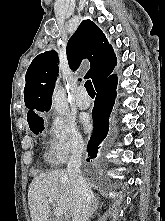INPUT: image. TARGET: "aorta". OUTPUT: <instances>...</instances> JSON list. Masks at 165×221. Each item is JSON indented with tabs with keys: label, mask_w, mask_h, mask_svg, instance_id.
Returning <instances> with one entry per match:
<instances>
[{
	"label": "aorta",
	"mask_w": 165,
	"mask_h": 221,
	"mask_svg": "<svg viewBox=\"0 0 165 221\" xmlns=\"http://www.w3.org/2000/svg\"><path fill=\"white\" fill-rule=\"evenodd\" d=\"M52 105L55 111L60 114H66L68 111V105L66 100L65 91L61 87H57L52 96Z\"/></svg>",
	"instance_id": "obj_1"
}]
</instances>
